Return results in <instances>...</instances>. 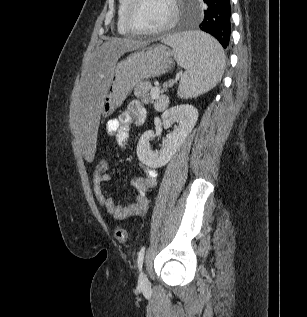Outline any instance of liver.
I'll return each mask as SVG.
<instances>
[{
    "label": "liver",
    "instance_id": "6515ba94",
    "mask_svg": "<svg viewBox=\"0 0 307 317\" xmlns=\"http://www.w3.org/2000/svg\"><path fill=\"white\" fill-rule=\"evenodd\" d=\"M145 45L128 38H110L85 65L70 107V127L77 141L75 148L81 149V159L95 158L101 104L118 59Z\"/></svg>",
    "mask_w": 307,
    "mask_h": 317
}]
</instances>
